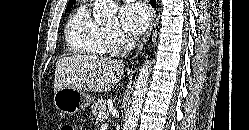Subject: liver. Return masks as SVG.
<instances>
[{"label":"liver","mask_w":249,"mask_h":130,"mask_svg":"<svg viewBox=\"0 0 249 130\" xmlns=\"http://www.w3.org/2000/svg\"><path fill=\"white\" fill-rule=\"evenodd\" d=\"M123 74L120 61L97 55H74L56 63L54 93L63 88L107 92Z\"/></svg>","instance_id":"1"}]
</instances>
